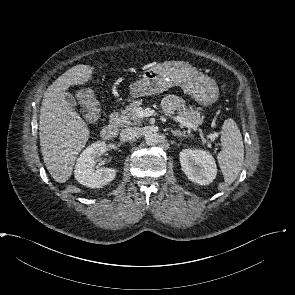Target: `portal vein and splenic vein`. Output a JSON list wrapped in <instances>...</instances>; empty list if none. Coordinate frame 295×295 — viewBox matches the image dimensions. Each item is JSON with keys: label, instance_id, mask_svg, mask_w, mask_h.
Listing matches in <instances>:
<instances>
[{"label": "portal vein and splenic vein", "instance_id": "1", "mask_svg": "<svg viewBox=\"0 0 295 295\" xmlns=\"http://www.w3.org/2000/svg\"><path fill=\"white\" fill-rule=\"evenodd\" d=\"M153 112L146 108V109H143V108H138L137 109V112L136 114L139 116V117H146V116H150ZM172 120L173 121H176V122H179L181 123L183 126L189 128V129H194V130H197L196 126L194 124H192L191 122L187 121L185 118L183 117H180V116H174L172 117ZM200 134H202V132L199 130ZM209 138H214V135L211 134L208 136Z\"/></svg>", "mask_w": 295, "mask_h": 295}]
</instances>
